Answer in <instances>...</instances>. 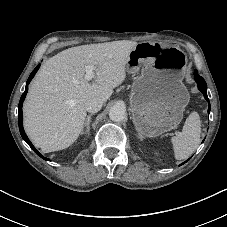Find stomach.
Returning <instances> with one entry per match:
<instances>
[{"label": "stomach", "mask_w": 227, "mask_h": 227, "mask_svg": "<svg viewBox=\"0 0 227 227\" xmlns=\"http://www.w3.org/2000/svg\"><path fill=\"white\" fill-rule=\"evenodd\" d=\"M187 59L179 48L141 42L131 51L126 66L137 75L130 105L133 123L141 136L157 137L177 127L189 102L182 80Z\"/></svg>", "instance_id": "0dacf381"}]
</instances>
